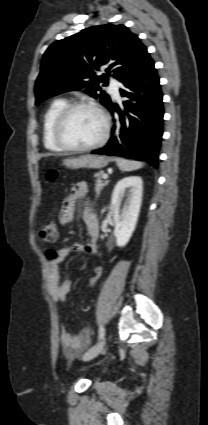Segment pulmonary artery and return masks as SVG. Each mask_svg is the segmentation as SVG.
Listing matches in <instances>:
<instances>
[{
	"mask_svg": "<svg viewBox=\"0 0 208 425\" xmlns=\"http://www.w3.org/2000/svg\"><path fill=\"white\" fill-rule=\"evenodd\" d=\"M110 91L115 98L118 99L120 97V91H119L117 85L111 84L110 85Z\"/></svg>",
	"mask_w": 208,
	"mask_h": 425,
	"instance_id": "pulmonary-artery-1",
	"label": "pulmonary artery"
}]
</instances>
